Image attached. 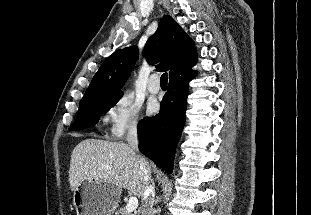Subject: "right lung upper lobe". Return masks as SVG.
Segmentation results:
<instances>
[{
	"mask_svg": "<svg viewBox=\"0 0 311 215\" xmlns=\"http://www.w3.org/2000/svg\"><path fill=\"white\" fill-rule=\"evenodd\" d=\"M143 54L149 64H156L158 71H169V79L185 72L197 62L193 41L168 15L164 16L157 31L146 42ZM138 58L136 46L120 49L110 55L93 77L80 103L103 97L121 95Z\"/></svg>",
	"mask_w": 311,
	"mask_h": 215,
	"instance_id": "obj_1",
	"label": "right lung upper lobe"
}]
</instances>
